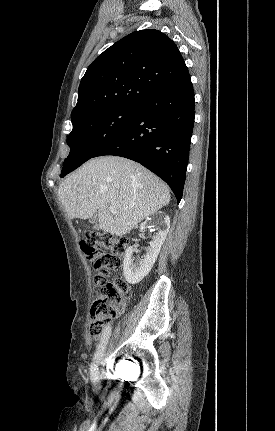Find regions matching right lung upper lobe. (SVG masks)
<instances>
[{
    "instance_id": "obj_1",
    "label": "right lung upper lobe",
    "mask_w": 275,
    "mask_h": 431,
    "mask_svg": "<svg viewBox=\"0 0 275 431\" xmlns=\"http://www.w3.org/2000/svg\"><path fill=\"white\" fill-rule=\"evenodd\" d=\"M186 73L181 53L169 37L158 30L135 31L105 50L88 67L71 120L116 106L138 107Z\"/></svg>"
}]
</instances>
